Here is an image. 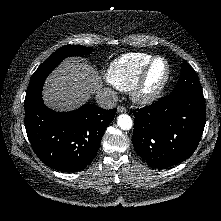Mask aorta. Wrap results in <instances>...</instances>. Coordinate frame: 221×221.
I'll list each match as a JSON object with an SVG mask.
<instances>
[{"mask_svg": "<svg viewBox=\"0 0 221 221\" xmlns=\"http://www.w3.org/2000/svg\"><path fill=\"white\" fill-rule=\"evenodd\" d=\"M117 124L123 130H129L133 126L132 119L127 114L119 115L118 118H117Z\"/></svg>", "mask_w": 221, "mask_h": 221, "instance_id": "762f6f07", "label": "aorta"}]
</instances>
